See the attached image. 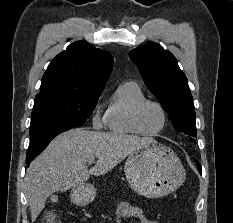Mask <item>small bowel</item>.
Wrapping results in <instances>:
<instances>
[{
  "label": "small bowel",
  "mask_w": 233,
  "mask_h": 223,
  "mask_svg": "<svg viewBox=\"0 0 233 223\" xmlns=\"http://www.w3.org/2000/svg\"><path fill=\"white\" fill-rule=\"evenodd\" d=\"M128 218L136 219L137 223H158L156 220L149 219L141 208L127 201H122L116 207L115 223H122L124 219Z\"/></svg>",
  "instance_id": "c3829d8e"
}]
</instances>
